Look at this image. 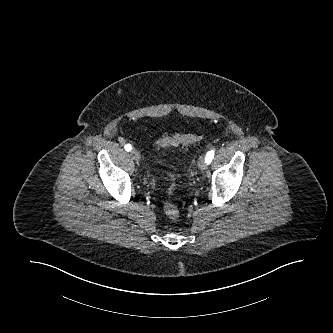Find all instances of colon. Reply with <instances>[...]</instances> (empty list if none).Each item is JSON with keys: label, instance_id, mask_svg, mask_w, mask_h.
<instances>
[{"label": "colon", "instance_id": "obj_1", "mask_svg": "<svg viewBox=\"0 0 333 333\" xmlns=\"http://www.w3.org/2000/svg\"><path fill=\"white\" fill-rule=\"evenodd\" d=\"M201 138L195 135H189V134H176L173 136H166L160 139L157 142L158 147H167V146H178V145H189L192 143H195L199 141ZM169 187L167 189V194L170 196L173 194L175 190V181L172 176L169 177ZM163 209L165 214L171 218V219H176L179 217V209L177 208L176 205L171 203L170 201H166L163 205Z\"/></svg>", "mask_w": 333, "mask_h": 333}]
</instances>
